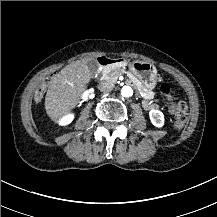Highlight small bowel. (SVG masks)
<instances>
[{"label":"small bowel","instance_id":"small-bowel-1","mask_svg":"<svg viewBox=\"0 0 217 217\" xmlns=\"http://www.w3.org/2000/svg\"><path fill=\"white\" fill-rule=\"evenodd\" d=\"M144 106L147 109H152V108L156 107V105L152 101H150V100L144 101Z\"/></svg>","mask_w":217,"mask_h":217}]
</instances>
